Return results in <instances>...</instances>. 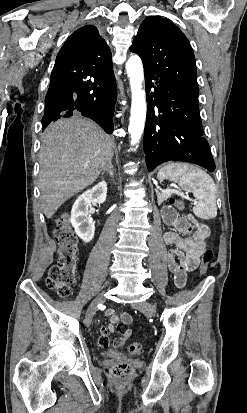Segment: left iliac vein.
Segmentation results:
<instances>
[{"label":"left iliac vein","mask_w":247,"mask_h":413,"mask_svg":"<svg viewBox=\"0 0 247 413\" xmlns=\"http://www.w3.org/2000/svg\"><path fill=\"white\" fill-rule=\"evenodd\" d=\"M133 307L139 309L140 311L149 316H154L156 314V307L147 301L135 303L133 304Z\"/></svg>","instance_id":"4c4485c4"}]
</instances>
